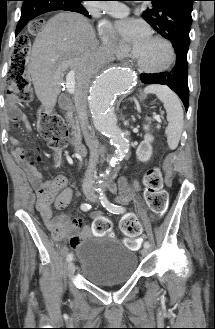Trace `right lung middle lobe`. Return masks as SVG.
<instances>
[{"label":"right lung middle lobe","mask_w":215,"mask_h":329,"mask_svg":"<svg viewBox=\"0 0 215 329\" xmlns=\"http://www.w3.org/2000/svg\"><path fill=\"white\" fill-rule=\"evenodd\" d=\"M76 8H84L81 4L84 0H69Z\"/></svg>","instance_id":"dd1d6c3e"}]
</instances>
